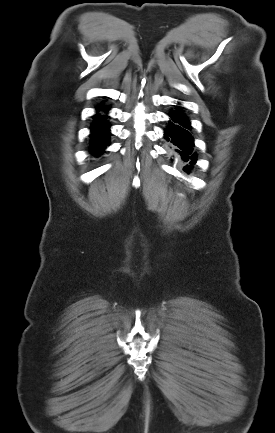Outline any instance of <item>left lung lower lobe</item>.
I'll use <instances>...</instances> for the list:
<instances>
[{"instance_id":"obj_1","label":"left lung lower lobe","mask_w":275,"mask_h":433,"mask_svg":"<svg viewBox=\"0 0 275 433\" xmlns=\"http://www.w3.org/2000/svg\"><path fill=\"white\" fill-rule=\"evenodd\" d=\"M169 117L171 120L164 131V137L169 144L171 159L180 163L186 172H190L196 164L197 153L189 119L179 105Z\"/></svg>"}]
</instances>
